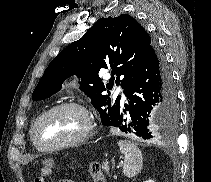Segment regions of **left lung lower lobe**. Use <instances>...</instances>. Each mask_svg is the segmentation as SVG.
I'll list each match as a JSON object with an SVG mask.
<instances>
[{
  "label": "left lung lower lobe",
  "instance_id": "1",
  "mask_svg": "<svg viewBox=\"0 0 211 182\" xmlns=\"http://www.w3.org/2000/svg\"><path fill=\"white\" fill-rule=\"evenodd\" d=\"M124 93L129 105L120 108L117 117L116 127L121 131L151 139L157 134L155 126L166 133L176 129L179 119L176 89L166 58L155 43ZM152 112L158 113V121L151 118Z\"/></svg>",
  "mask_w": 211,
  "mask_h": 182
}]
</instances>
